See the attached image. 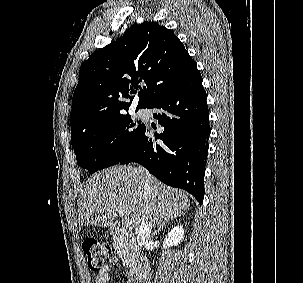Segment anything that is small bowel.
<instances>
[{
  "label": "small bowel",
  "mask_w": 303,
  "mask_h": 283,
  "mask_svg": "<svg viewBox=\"0 0 303 283\" xmlns=\"http://www.w3.org/2000/svg\"><path fill=\"white\" fill-rule=\"evenodd\" d=\"M117 262L116 257L109 258L108 262L103 266L95 277V283H107L110 280V267Z\"/></svg>",
  "instance_id": "small-bowel-1"
}]
</instances>
